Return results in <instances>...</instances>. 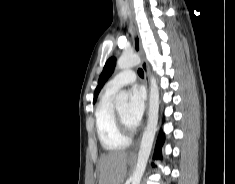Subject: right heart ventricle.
<instances>
[{"mask_svg": "<svg viewBox=\"0 0 235 184\" xmlns=\"http://www.w3.org/2000/svg\"><path fill=\"white\" fill-rule=\"evenodd\" d=\"M111 93L106 92L95 109V128L101 146L107 154H114L126 149L130 140L118 130L115 111L110 103Z\"/></svg>", "mask_w": 235, "mask_h": 184, "instance_id": "right-heart-ventricle-1", "label": "right heart ventricle"}]
</instances>
